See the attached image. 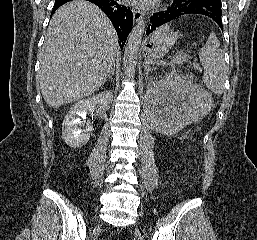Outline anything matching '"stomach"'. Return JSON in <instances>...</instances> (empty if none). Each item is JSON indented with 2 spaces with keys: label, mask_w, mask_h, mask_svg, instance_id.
<instances>
[{
  "label": "stomach",
  "mask_w": 257,
  "mask_h": 240,
  "mask_svg": "<svg viewBox=\"0 0 257 240\" xmlns=\"http://www.w3.org/2000/svg\"><path fill=\"white\" fill-rule=\"evenodd\" d=\"M179 37L178 32L158 29L148 43L145 50L151 58L164 56L175 44Z\"/></svg>",
  "instance_id": "1"
}]
</instances>
